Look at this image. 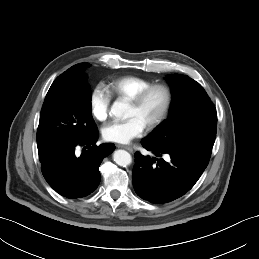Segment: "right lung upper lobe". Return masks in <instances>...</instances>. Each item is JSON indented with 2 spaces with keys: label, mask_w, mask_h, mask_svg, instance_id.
I'll return each mask as SVG.
<instances>
[{
  "label": "right lung upper lobe",
  "mask_w": 259,
  "mask_h": 259,
  "mask_svg": "<svg viewBox=\"0 0 259 259\" xmlns=\"http://www.w3.org/2000/svg\"><path fill=\"white\" fill-rule=\"evenodd\" d=\"M82 64L84 63L72 66L59 77H57L51 85L46 97L50 98L63 91L71 90L74 86H76L79 83L78 73Z\"/></svg>",
  "instance_id": "cb5924a9"
}]
</instances>
